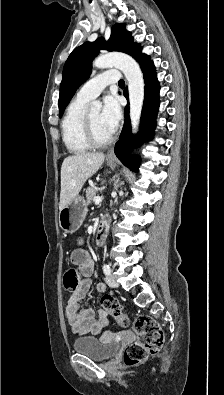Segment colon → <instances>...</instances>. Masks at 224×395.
Returning <instances> with one entry per match:
<instances>
[{
  "mask_svg": "<svg viewBox=\"0 0 224 395\" xmlns=\"http://www.w3.org/2000/svg\"><path fill=\"white\" fill-rule=\"evenodd\" d=\"M78 271L69 267L65 272V287L74 290L78 286ZM104 309L110 312L120 327L129 326V318L119 302L110 295L101 298ZM137 341L127 345L123 351V360L128 366L142 363L149 355L156 354L164 344V333L160 325L147 315L137 316L133 323Z\"/></svg>",
  "mask_w": 224,
  "mask_h": 395,
  "instance_id": "1",
  "label": "colon"
}]
</instances>
